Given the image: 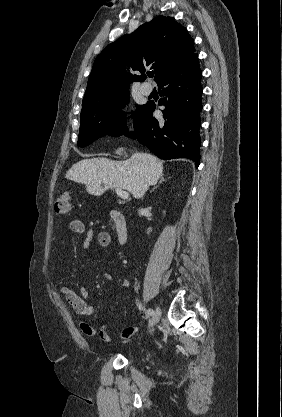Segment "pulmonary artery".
<instances>
[{
    "label": "pulmonary artery",
    "mask_w": 282,
    "mask_h": 417,
    "mask_svg": "<svg viewBox=\"0 0 282 417\" xmlns=\"http://www.w3.org/2000/svg\"><path fill=\"white\" fill-rule=\"evenodd\" d=\"M141 92L144 95H149L152 92V87H150V86H142L141 87Z\"/></svg>",
    "instance_id": "1"
}]
</instances>
